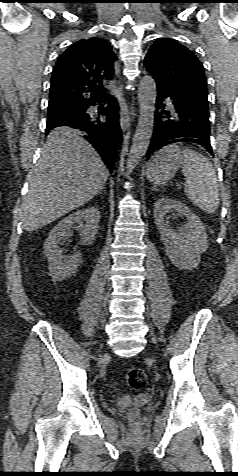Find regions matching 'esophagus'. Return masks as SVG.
<instances>
[{
  "label": "esophagus",
  "mask_w": 238,
  "mask_h": 476,
  "mask_svg": "<svg viewBox=\"0 0 238 476\" xmlns=\"http://www.w3.org/2000/svg\"><path fill=\"white\" fill-rule=\"evenodd\" d=\"M114 68H115L116 74L118 76H120V64H119V62H115ZM134 115H135L134 110H132L131 111V116L133 117ZM120 125H121V128H122L123 131H125L128 128V125H129L128 119L123 113H121Z\"/></svg>",
  "instance_id": "esophagus-1"
}]
</instances>
